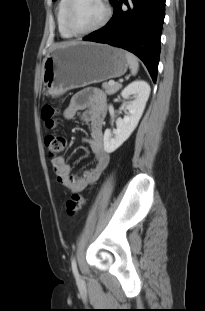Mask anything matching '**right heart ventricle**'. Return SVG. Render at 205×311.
I'll use <instances>...</instances> for the list:
<instances>
[{"mask_svg": "<svg viewBox=\"0 0 205 311\" xmlns=\"http://www.w3.org/2000/svg\"><path fill=\"white\" fill-rule=\"evenodd\" d=\"M68 0H60L57 11H56V22L58 26V30L60 35L63 38L69 39L72 38L73 35L68 31L66 25H65V10Z\"/></svg>", "mask_w": 205, "mask_h": 311, "instance_id": "right-heart-ventricle-1", "label": "right heart ventricle"}]
</instances>
